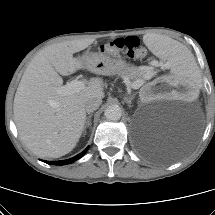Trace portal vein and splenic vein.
Here are the masks:
<instances>
[{
  "label": "portal vein and splenic vein",
  "instance_id": "1",
  "mask_svg": "<svg viewBox=\"0 0 215 215\" xmlns=\"http://www.w3.org/2000/svg\"><path fill=\"white\" fill-rule=\"evenodd\" d=\"M143 80H137L134 84L130 85L129 88L138 89L143 85ZM85 87V83L81 80L74 79L71 82L57 88V92L61 95H70L81 91Z\"/></svg>",
  "mask_w": 215,
  "mask_h": 215
}]
</instances>
